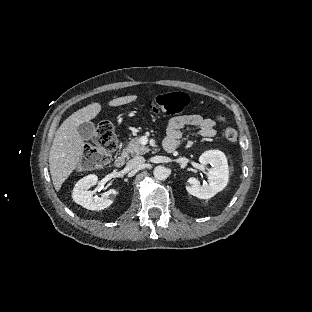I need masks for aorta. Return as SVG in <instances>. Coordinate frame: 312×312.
Listing matches in <instances>:
<instances>
[{
  "instance_id": "762f6f07",
  "label": "aorta",
  "mask_w": 312,
  "mask_h": 312,
  "mask_svg": "<svg viewBox=\"0 0 312 312\" xmlns=\"http://www.w3.org/2000/svg\"><path fill=\"white\" fill-rule=\"evenodd\" d=\"M153 174L158 180H165L169 176V170L159 165L154 168Z\"/></svg>"
}]
</instances>
